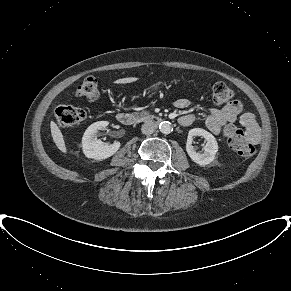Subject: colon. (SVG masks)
<instances>
[{
	"label": "colon",
	"instance_id": "5ec220e1",
	"mask_svg": "<svg viewBox=\"0 0 291 291\" xmlns=\"http://www.w3.org/2000/svg\"><path fill=\"white\" fill-rule=\"evenodd\" d=\"M75 95L94 101L99 97L98 82L94 77L86 78L75 90ZM233 97V91L223 82H217L212 87V100L216 105H223ZM87 112L79 107L71 105H60L55 110V117L58 123L64 127L77 125L85 120ZM224 136L229 146L241 157H250L255 152V147L244 132L233 124H225Z\"/></svg>",
	"mask_w": 291,
	"mask_h": 291
}]
</instances>
